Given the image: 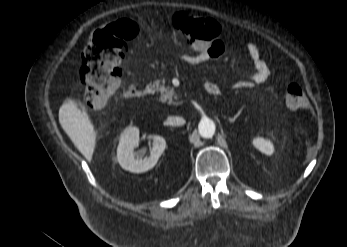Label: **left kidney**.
<instances>
[{
    "instance_id": "5707ae66",
    "label": "left kidney",
    "mask_w": 347,
    "mask_h": 247,
    "mask_svg": "<svg viewBox=\"0 0 347 247\" xmlns=\"http://www.w3.org/2000/svg\"><path fill=\"white\" fill-rule=\"evenodd\" d=\"M253 145L266 155H271L274 152L273 144L269 140H266L264 138H254Z\"/></svg>"
}]
</instances>
